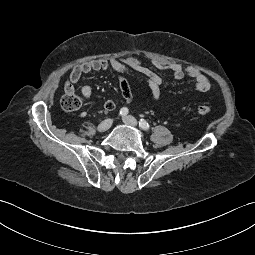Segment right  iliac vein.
Masks as SVG:
<instances>
[{"label": "right iliac vein", "mask_w": 255, "mask_h": 255, "mask_svg": "<svg viewBox=\"0 0 255 255\" xmlns=\"http://www.w3.org/2000/svg\"><path fill=\"white\" fill-rule=\"evenodd\" d=\"M112 123H113L112 119H106L98 125L97 130L103 133L111 127Z\"/></svg>", "instance_id": "obj_1"}]
</instances>
